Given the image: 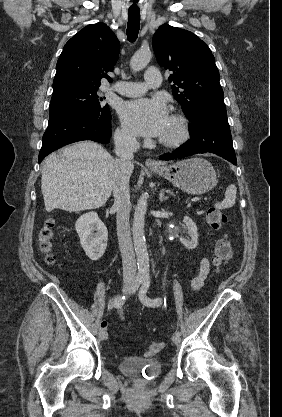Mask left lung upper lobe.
<instances>
[{
	"label": "left lung upper lobe",
	"mask_w": 282,
	"mask_h": 417,
	"mask_svg": "<svg viewBox=\"0 0 282 417\" xmlns=\"http://www.w3.org/2000/svg\"><path fill=\"white\" fill-rule=\"evenodd\" d=\"M153 49L158 63L173 72V95L189 120L198 108L224 105L214 56L195 34L164 24L153 36Z\"/></svg>",
	"instance_id": "left-lung-upper-lobe-1"
}]
</instances>
